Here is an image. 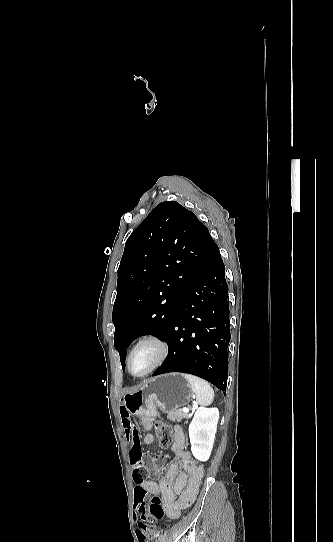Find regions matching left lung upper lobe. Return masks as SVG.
<instances>
[{
	"mask_svg": "<svg viewBox=\"0 0 333 542\" xmlns=\"http://www.w3.org/2000/svg\"><path fill=\"white\" fill-rule=\"evenodd\" d=\"M213 242L196 215L174 201L158 204L130 235L112 317L123 370L126 348L136 337L147 332L167 337Z\"/></svg>",
	"mask_w": 333,
	"mask_h": 542,
	"instance_id": "left-lung-upper-lobe-1",
	"label": "left lung upper lobe"
}]
</instances>
